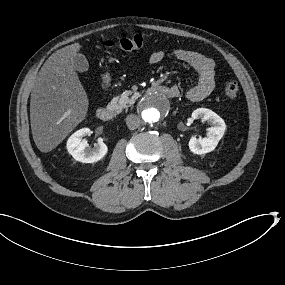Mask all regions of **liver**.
Segmentation results:
<instances>
[{
  "label": "liver",
  "mask_w": 285,
  "mask_h": 285,
  "mask_svg": "<svg viewBox=\"0 0 285 285\" xmlns=\"http://www.w3.org/2000/svg\"><path fill=\"white\" fill-rule=\"evenodd\" d=\"M80 48L74 43L57 50L35 79L30 121L33 140L41 152L56 148L87 115L89 100L73 62Z\"/></svg>",
  "instance_id": "6515ba94"
}]
</instances>
